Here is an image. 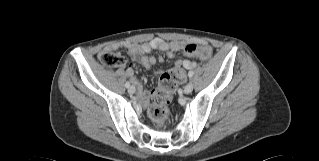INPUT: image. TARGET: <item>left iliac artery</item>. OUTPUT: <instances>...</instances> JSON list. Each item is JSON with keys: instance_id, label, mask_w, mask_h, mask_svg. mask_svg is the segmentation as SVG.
Returning <instances> with one entry per match:
<instances>
[{"instance_id": "44dca946", "label": "left iliac artery", "mask_w": 319, "mask_h": 161, "mask_svg": "<svg viewBox=\"0 0 319 161\" xmlns=\"http://www.w3.org/2000/svg\"><path fill=\"white\" fill-rule=\"evenodd\" d=\"M193 75H194V71H193V70H190V71L188 72V76L191 78Z\"/></svg>"}]
</instances>
